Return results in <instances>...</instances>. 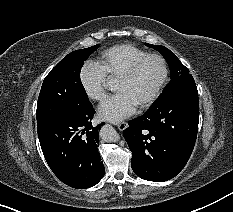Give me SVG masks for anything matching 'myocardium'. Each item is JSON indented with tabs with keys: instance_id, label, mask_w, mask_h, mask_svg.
<instances>
[{
	"instance_id": "obj_1",
	"label": "myocardium",
	"mask_w": 233,
	"mask_h": 212,
	"mask_svg": "<svg viewBox=\"0 0 233 212\" xmlns=\"http://www.w3.org/2000/svg\"><path fill=\"white\" fill-rule=\"evenodd\" d=\"M151 58H155V59L160 61L161 65H162V77H161L159 83L157 84L156 88L152 92V94L144 102H142L138 106L139 109H145V108L151 106L156 101L158 96L160 95L162 89L164 88V86L168 80V76H169V67H168L167 60L162 55H160L158 53H148V54L136 59L135 61H133L128 66V68L118 77V80H123V81L131 79L135 75V73L137 72L139 67L146 60L151 59Z\"/></svg>"
}]
</instances>
